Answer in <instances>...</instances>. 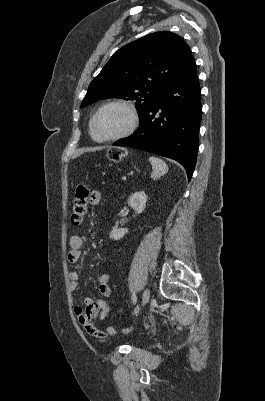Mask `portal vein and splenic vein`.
Masks as SVG:
<instances>
[{"mask_svg": "<svg viewBox=\"0 0 265 401\" xmlns=\"http://www.w3.org/2000/svg\"><path fill=\"white\" fill-rule=\"evenodd\" d=\"M122 180H123V181H126V180H127V177H126V176H123V177H122Z\"/></svg>", "mask_w": 265, "mask_h": 401, "instance_id": "1", "label": "portal vein and splenic vein"}]
</instances>
